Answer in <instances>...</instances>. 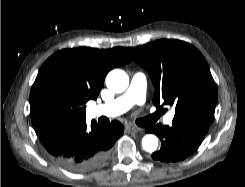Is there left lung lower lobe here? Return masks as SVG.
<instances>
[{
    "label": "left lung lower lobe",
    "instance_id": "left-lung-lower-lobe-1",
    "mask_svg": "<svg viewBox=\"0 0 245 187\" xmlns=\"http://www.w3.org/2000/svg\"><path fill=\"white\" fill-rule=\"evenodd\" d=\"M208 129V123H174L172 126L156 125L146 128V132L156 134L161 140V148L152 158L165 163L182 161L193 154L201 144Z\"/></svg>",
    "mask_w": 245,
    "mask_h": 187
}]
</instances>
